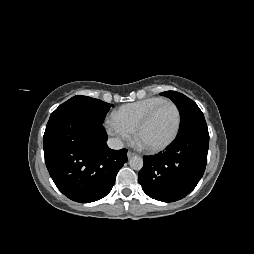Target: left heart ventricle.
Returning a JSON list of instances; mask_svg holds the SVG:
<instances>
[{
  "label": "left heart ventricle",
  "instance_id": "obj_1",
  "mask_svg": "<svg viewBox=\"0 0 254 254\" xmlns=\"http://www.w3.org/2000/svg\"><path fill=\"white\" fill-rule=\"evenodd\" d=\"M176 122L175 108L170 104L162 106L141 131L139 141L149 147L164 143L173 134Z\"/></svg>",
  "mask_w": 254,
  "mask_h": 254
}]
</instances>
